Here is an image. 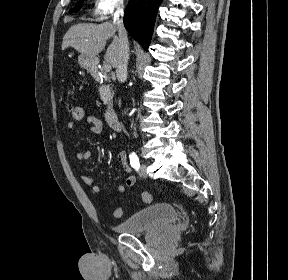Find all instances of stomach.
I'll return each mask as SVG.
<instances>
[{"mask_svg": "<svg viewBox=\"0 0 288 280\" xmlns=\"http://www.w3.org/2000/svg\"><path fill=\"white\" fill-rule=\"evenodd\" d=\"M79 64L85 69H92L97 64V59L95 57H89L81 54L78 57Z\"/></svg>", "mask_w": 288, "mask_h": 280, "instance_id": "obj_1", "label": "stomach"}]
</instances>
